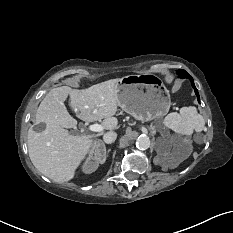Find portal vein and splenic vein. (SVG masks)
<instances>
[{
	"label": "portal vein and splenic vein",
	"mask_w": 233,
	"mask_h": 233,
	"mask_svg": "<svg viewBox=\"0 0 233 233\" xmlns=\"http://www.w3.org/2000/svg\"><path fill=\"white\" fill-rule=\"evenodd\" d=\"M152 128V127H151ZM88 129L90 131H93V132H101L103 131V127L102 125H99V124H92L88 127Z\"/></svg>",
	"instance_id": "1"
}]
</instances>
